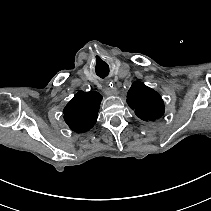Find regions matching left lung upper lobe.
I'll return each instance as SVG.
<instances>
[{"label":"left lung upper lobe","instance_id":"1","mask_svg":"<svg viewBox=\"0 0 211 211\" xmlns=\"http://www.w3.org/2000/svg\"><path fill=\"white\" fill-rule=\"evenodd\" d=\"M127 103L144 121L159 119L165 110L160 94L140 81L134 82L129 89Z\"/></svg>","mask_w":211,"mask_h":211}]
</instances>
